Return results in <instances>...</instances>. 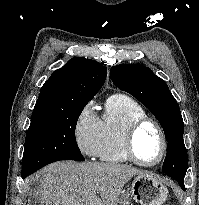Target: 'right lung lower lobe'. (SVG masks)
I'll return each instance as SVG.
<instances>
[{
  "label": "right lung lower lobe",
  "instance_id": "98d812e1",
  "mask_svg": "<svg viewBox=\"0 0 199 205\" xmlns=\"http://www.w3.org/2000/svg\"><path fill=\"white\" fill-rule=\"evenodd\" d=\"M28 175H23L22 178L24 179L25 177H27Z\"/></svg>",
  "mask_w": 199,
  "mask_h": 205
}]
</instances>
